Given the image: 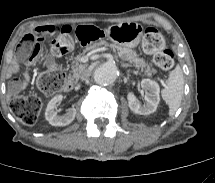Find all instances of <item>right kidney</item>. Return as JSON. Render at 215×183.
<instances>
[{
	"label": "right kidney",
	"mask_w": 215,
	"mask_h": 183,
	"mask_svg": "<svg viewBox=\"0 0 215 183\" xmlns=\"http://www.w3.org/2000/svg\"><path fill=\"white\" fill-rule=\"evenodd\" d=\"M63 95L54 96L48 103L45 118L52 126H66L69 125L74 119L76 115L75 108H69L66 110L64 115H57L55 109L57 108V104L63 100Z\"/></svg>",
	"instance_id": "ca27d5eb"
}]
</instances>
